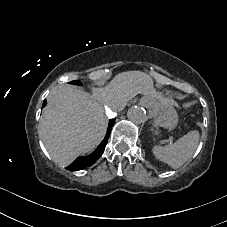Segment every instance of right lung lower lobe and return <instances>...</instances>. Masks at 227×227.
Wrapping results in <instances>:
<instances>
[{
    "label": "right lung lower lobe",
    "instance_id": "right-lung-lower-lobe-1",
    "mask_svg": "<svg viewBox=\"0 0 227 227\" xmlns=\"http://www.w3.org/2000/svg\"><path fill=\"white\" fill-rule=\"evenodd\" d=\"M46 104H47V102H46V100H44L43 106H45ZM114 121H115V119H111L109 121L106 136H105L104 140L101 142V144L96 148V150L88 156L78 157L71 165L66 167V169H68L70 171H78V170H82L88 166L93 165L104 152V149L107 144Z\"/></svg>",
    "mask_w": 227,
    "mask_h": 227
}]
</instances>
